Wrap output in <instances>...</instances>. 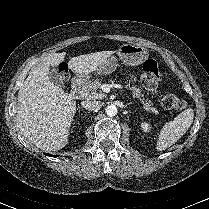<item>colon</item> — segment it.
Segmentation results:
<instances>
[{
	"mask_svg": "<svg viewBox=\"0 0 209 209\" xmlns=\"http://www.w3.org/2000/svg\"><path fill=\"white\" fill-rule=\"evenodd\" d=\"M61 76L67 79L68 72L66 68L61 69ZM162 73L156 60L148 59L143 64L142 84L146 90L155 94L157 93L159 82L162 80ZM162 106L165 109L173 111H182L186 108V102L173 94L165 95L162 98Z\"/></svg>",
	"mask_w": 209,
	"mask_h": 209,
	"instance_id": "obj_1",
	"label": "colon"
}]
</instances>
